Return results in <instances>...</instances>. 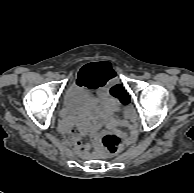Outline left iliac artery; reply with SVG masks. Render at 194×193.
<instances>
[{"instance_id": "left-iliac-artery-1", "label": "left iliac artery", "mask_w": 194, "mask_h": 193, "mask_svg": "<svg viewBox=\"0 0 194 193\" xmlns=\"http://www.w3.org/2000/svg\"><path fill=\"white\" fill-rule=\"evenodd\" d=\"M144 77H145L146 79H148V78H150V77H151V74H150V73H148V72H146V73H145V75H144Z\"/></svg>"}]
</instances>
